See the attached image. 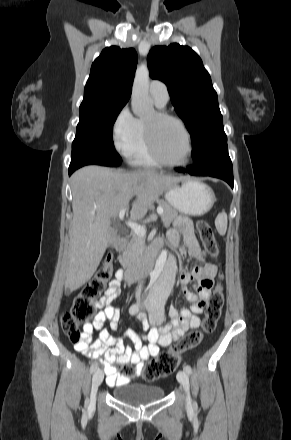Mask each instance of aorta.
<instances>
[{
    "mask_svg": "<svg viewBox=\"0 0 291 440\" xmlns=\"http://www.w3.org/2000/svg\"><path fill=\"white\" fill-rule=\"evenodd\" d=\"M131 108L138 117H145L153 111V101L149 96V69L146 63L136 71L132 90ZM175 281L173 260L168 258L161 269L155 271L147 296L148 305L163 303Z\"/></svg>",
    "mask_w": 291,
    "mask_h": 440,
    "instance_id": "aorta-1",
    "label": "aorta"
}]
</instances>
